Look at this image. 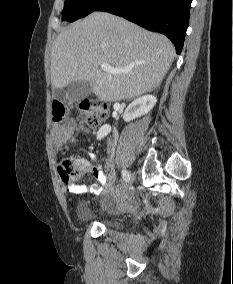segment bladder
Segmentation results:
<instances>
[{"label":"bladder","mask_w":233,"mask_h":284,"mask_svg":"<svg viewBox=\"0 0 233 284\" xmlns=\"http://www.w3.org/2000/svg\"><path fill=\"white\" fill-rule=\"evenodd\" d=\"M125 197H118V200L122 201ZM76 216L80 223H90L94 221V216L90 212L87 204L84 201H79L76 205ZM99 222L110 231H118L122 225L119 221L112 218L101 219Z\"/></svg>","instance_id":"bladder-1"}]
</instances>
